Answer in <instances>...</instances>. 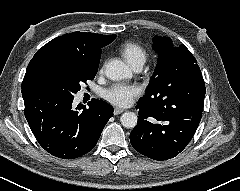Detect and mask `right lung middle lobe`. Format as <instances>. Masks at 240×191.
<instances>
[{"mask_svg": "<svg viewBox=\"0 0 240 191\" xmlns=\"http://www.w3.org/2000/svg\"><path fill=\"white\" fill-rule=\"evenodd\" d=\"M98 67H76L59 63H47L40 66L29 78L26 92H45L67 98L81 89V84L94 79Z\"/></svg>", "mask_w": 240, "mask_h": 191, "instance_id": "obj_1", "label": "right lung middle lobe"}]
</instances>
